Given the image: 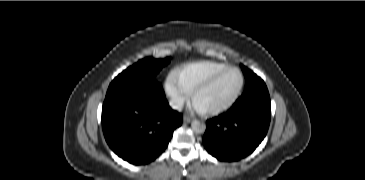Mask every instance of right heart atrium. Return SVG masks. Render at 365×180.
<instances>
[{
    "label": "right heart atrium",
    "instance_id": "obj_1",
    "mask_svg": "<svg viewBox=\"0 0 365 180\" xmlns=\"http://www.w3.org/2000/svg\"><path fill=\"white\" fill-rule=\"evenodd\" d=\"M165 91L175 108H181L189 99V94L180 84L175 71L166 78Z\"/></svg>",
    "mask_w": 365,
    "mask_h": 180
}]
</instances>
